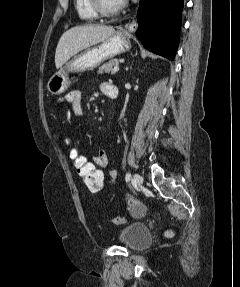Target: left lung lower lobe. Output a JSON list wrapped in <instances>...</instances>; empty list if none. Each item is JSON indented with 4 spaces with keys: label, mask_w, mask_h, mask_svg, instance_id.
<instances>
[{
    "label": "left lung lower lobe",
    "mask_w": 240,
    "mask_h": 287,
    "mask_svg": "<svg viewBox=\"0 0 240 287\" xmlns=\"http://www.w3.org/2000/svg\"><path fill=\"white\" fill-rule=\"evenodd\" d=\"M184 0H140L136 36L148 50L174 60Z\"/></svg>",
    "instance_id": "obj_1"
}]
</instances>
